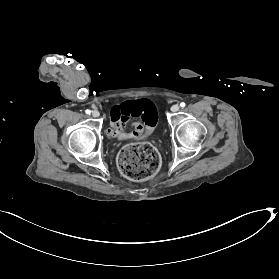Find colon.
Segmentation results:
<instances>
[{"label":"colon","mask_w":279,"mask_h":279,"mask_svg":"<svg viewBox=\"0 0 279 279\" xmlns=\"http://www.w3.org/2000/svg\"><path fill=\"white\" fill-rule=\"evenodd\" d=\"M118 166L126 178L144 180L158 171L160 156L148 143L131 144L120 151Z\"/></svg>","instance_id":"5ec220e1"}]
</instances>
